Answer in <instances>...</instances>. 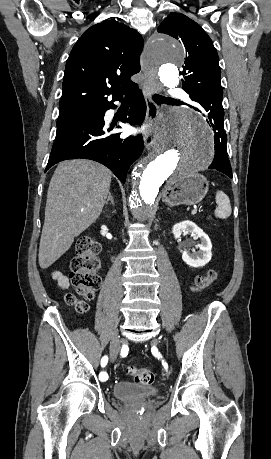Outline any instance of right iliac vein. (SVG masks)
Masks as SVG:
<instances>
[{
	"label": "right iliac vein",
	"instance_id": "right-iliac-vein-1",
	"mask_svg": "<svg viewBox=\"0 0 271 459\" xmlns=\"http://www.w3.org/2000/svg\"><path fill=\"white\" fill-rule=\"evenodd\" d=\"M119 350H120L119 339L117 337H114L110 343V355L113 361L117 359Z\"/></svg>",
	"mask_w": 271,
	"mask_h": 459
}]
</instances>
